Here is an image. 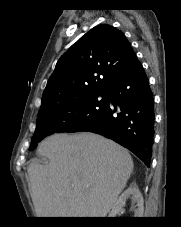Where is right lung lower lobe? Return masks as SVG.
Returning <instances> with one entry per match:
<instances>
[{
	"mask_svg": "<svg viewBox=\"0 0 181 227\" xmlns=\"http://www.w3.org/2000/svg\"><path fill=\"white\" fill-rule=\"evenodd\" d=\"M108 94L106 110L81 131L116 141L149 166L155 123L154 100L146 73L136 56L125 73L109 86Z\"/></svg>",
	"mask_w": 181,
	"mask_h": 227,
	"instance_id": "98d812e1",
	"label": "right lung lower lobe"
}]
</instances>
